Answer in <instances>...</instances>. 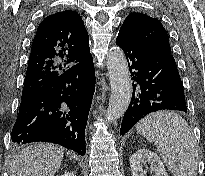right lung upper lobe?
<instances>
[{
  "instance_id": "obj_1",
  "label": "right lung upper lobe",
  "mask_w": 205,
  "mask_h": 176,
  "mask_svg": "<svg viewBox=\"0 0 205 176\" xmlns=\"http://www.w3.org/2000/svg\"><path fill=\"white\" fill-rule=\"evenodd\" d=\"M89 56L88 33L78 13L65 10L47 16L32 43L22 98Z\"/></svg>"
}]
</instances>
